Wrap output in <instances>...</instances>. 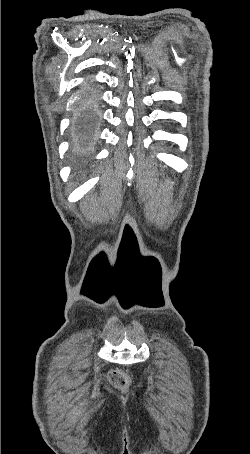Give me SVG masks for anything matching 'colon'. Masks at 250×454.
Masks as SVG:
<instances>
[{
    "mask_svg": "<svg viewBox=\"0 0 250 454\" xmlns=\"http://www.w3.org/2000/svg\"><path fill=\"white\" fill-rule=\"evenodd\" d=\"M109 381L115 388L122 391L127 390L130 385L129 376L125 372L120 370L110 372Z\"/></svg>",
    "mask_w": 250,
    "mask_h": 454,
    "instance_id": "1",
    "label": "colon"
}]
</instances>
